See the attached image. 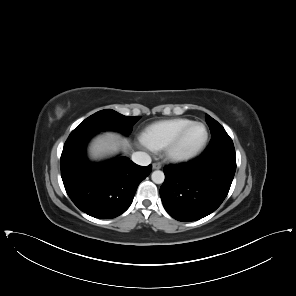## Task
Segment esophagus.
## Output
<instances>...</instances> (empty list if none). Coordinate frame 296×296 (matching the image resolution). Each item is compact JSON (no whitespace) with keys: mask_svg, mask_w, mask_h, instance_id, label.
<instances>
[{"mask_svg":"<svg viewBox=\"0 0 296 296\" xmlns=\"http://www.w3.org/2000/svg\"><path fill=\"white\" fill-rule=\"evenodd\" d=\"M152 168H153L154 170H158V169L161 168V164H160V163H153V164H152Z\"/></svg>","mask_w":296,"mask_h":296,"instance_id":"1","label":"esophagus"}]
</instances>
